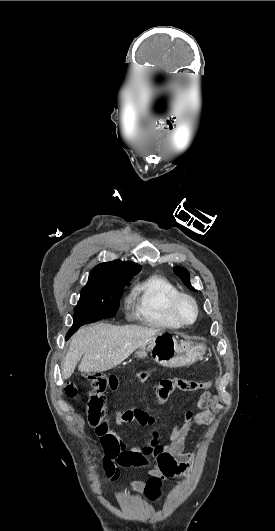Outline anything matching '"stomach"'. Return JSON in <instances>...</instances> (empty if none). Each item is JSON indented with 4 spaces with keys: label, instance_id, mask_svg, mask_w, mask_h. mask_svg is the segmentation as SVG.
<instances>
[{
    "label": "stomach",
    "instance_id": "obj_1",
    "mask_svg": "<svg viewBox=\"0 0 275 531\" xmlns=\"http://www.w3.org/2000/svg\"><path fill=\"white\" fill-rule=\"evenodd\" d=\"M206 345H194L189 341H181L178 343L172 333H159L154 335L151 339L144 341L138 347L135 357L136 359H145L148 353L155 363L161 367H189L193 363H197L205 355Z\"/></svg>",
    "mask_w": 275,
    "mask_h": 531
}]
</instances>
